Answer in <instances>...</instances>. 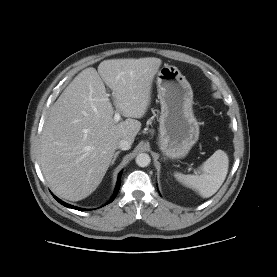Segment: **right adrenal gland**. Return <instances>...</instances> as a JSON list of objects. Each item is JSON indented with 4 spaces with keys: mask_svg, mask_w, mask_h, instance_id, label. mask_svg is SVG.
<instances>
[{
    "mask_svg": "<svg viewBox=\"0 0 277 277\" xmlns=\"http://www.w3.org/2000/svg\"><path fill=\"white\" fill-rule=\"evenodd\" d=\"M120 152H121V151H117V152L115 153L114 158H113V160H112V162H111V166H112V165L114 164V162L116 161V159H117L118 155L120 154Z\"/></svg>",
    "mask_w": 277,
    "mask_h": 277,
    "instance_id": "right-adrenal-gland-1",
    "label": "right adrenal gland"
}]
</instances>
